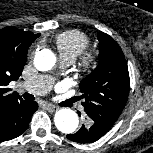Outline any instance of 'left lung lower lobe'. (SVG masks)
<instances>
[{"instance_id":"left-lung-lower-lobe-1","label":"left lung lower lobe","mask_w":153,"mask_h":153,"mask_svg":"<svg viewBox=\"0 0 153 153\" xmlns=\"http://www.w3.org/2000/svg\"><path fill=\"white\" fill-rule=\"evenodd\" d=\"M108 131L102 129L97 124L90 122L88 126H82L81 129L74 133L68 134L67 138L78 143H92L100 139Z\"/></svg>"}]
</instances>
